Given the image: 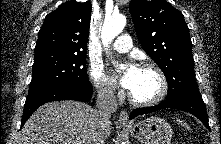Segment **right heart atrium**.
Returning a JSON list of instances; mask_svg holds the SVG:
<instances>
[{"mask_svg":"<svg viewBox=\"0 0 221 144\" xmlns=\"http://www.w3.org/2000/svg\"><path fill=\"white\" fill-rule=\"evenodd\" d=\"M89 76L97 93L107 99H112L116 95V83L111 76H109L103 66L99 63H91L89 67Z\"/></svg>","mask_w":221,"mask_h":144,"instance_id":"d8ad5b80","label":"right heart atrium"}]
</instances>
